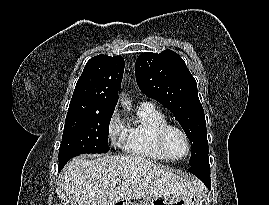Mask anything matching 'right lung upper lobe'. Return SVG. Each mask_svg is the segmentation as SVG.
I'll return each instance as SVG.
<instances>
[{
  "label": "right lung upper lobe",
  "instance_id": "1",
  "mask_svg": "<svg viewBox=\"0 0 269 205\" xmlns=\"http://www.w3.org/2000/svg\"><path fill=\"white\" fill-rule=\"evenodd\" d=\"M124 66L122 56L91 58L77 81L69 108L114 112Z\"/></svg>",
  "mask_w": 269,
  "mask_h": 205
}]
</instances>
